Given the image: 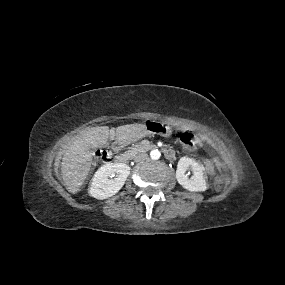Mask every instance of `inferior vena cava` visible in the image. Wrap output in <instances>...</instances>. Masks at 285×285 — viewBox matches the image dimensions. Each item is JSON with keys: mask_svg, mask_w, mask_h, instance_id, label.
I'll use <instances>...</instances> for the list:
<instances>
[{"mask_svg": "<svg viewBox=\"0 0 285 285\" xmlns=\"http://www.w3.org/2000/svg\"><path fill=\"white\" fill-rule=\"evenodd\" d=\"M148 159V154L143 152V153H139L138 155H136L134 157V161L135 162H141V161H145Z\"/></svg>", "mask_w": 285, "mask_h": 285, "instance_id": "602c4592", "label": "inferior vena cava"}]
</instances>
